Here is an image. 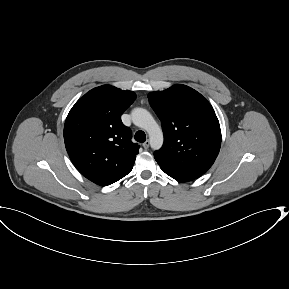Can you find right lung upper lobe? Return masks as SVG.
<instances>
[{
  "label": "right lung upper lobe",
  "instance_id": "right-lung-upper-lobe-1",
  "mask_svg": "<svg viewBox=\"0 0 289 289\" xmlns=\"http://www.w3.org/2000/svg\"><path fill=\"white\" fill-rule=\"evenodd\" d=\"M132 91L102 85L82 96L70 110L64 126L66 150L77 170L101 186L110 185L133 168L139 146L121 121L135 100Z\"/></svg>",
  "mask_w": 289,
  "mask_h": 289
}]
</instances>
